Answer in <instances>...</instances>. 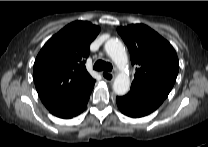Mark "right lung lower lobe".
<instances>
[{"label": "right lung lower lobe", "instance_id": "right-lung-lower-lobe-1", "mask_svg": "<svg viewBox=\"0 0 208 147\" xmlns=\"http://www.w3.org/2000/svg\"><path fill=\"white\" fill-rule=\"evenodd\" d=\"M93 87L94 84H92L73 100L51 107L48 110L53 115L60 118L68 119L77 116L86 108Z\"/></svg>", "mask_w": 208, "mask_h": 147}]
</instances>
